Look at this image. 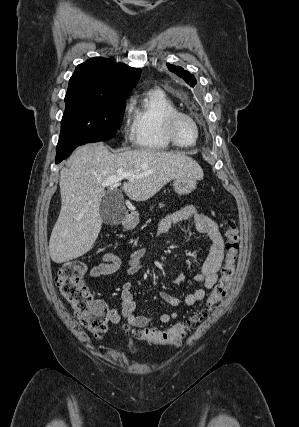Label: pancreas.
<instances>
[{"instance_id":"pancreas-1","label":"pancreas","mask_w":299,"mask_h":427,"mask_svg":"<svg viewBox=\"0 0 299 427\" xmlns=\"http://www.w3.org/2000/svg\"><path fill=\"white\" fill-rule=\"evenodd\" d=\"M159 207H160V208H163V207H164V204L160 203V204H159ZM152 208H153V207H152ZM152 208H151V209H152Z\"/></svg>"}]
</instances>
